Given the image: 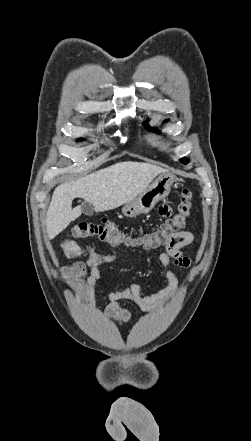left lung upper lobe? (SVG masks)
I'll return each instance as SVG.
<instances>
[{
  "mask_svg": "<svg viewBox=\"0 0 251 441\" xmlns=\"http://www.w3.org/2000/svg\"><path fill=\"white\" fill-rule=\"evenodd\" d=\"M144 125H145V127H146L147 129H150V130H152V131H156L155 129L150 128V127L147 125V123H145ZM180 161H181L182 163H184V164H187V163L189 162V160L186 159V158H183V159H181Z\"/></svg>",
  "mask_w": 251,
  "mask_h": 441,
  "instance_id": "left-lung-upper-lobe-1",
  "label": "left lung upper lobe"
}]
</instances>
